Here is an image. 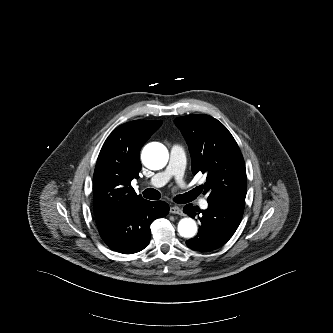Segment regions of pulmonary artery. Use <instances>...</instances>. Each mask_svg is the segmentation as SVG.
Instances as JSON below:
<instances>
[{
  "mask_svg": "<svg viewBox=\"0 0 333 333\" xmlns=\"http://www.w3.org/2000/svg\"><path fill=\"white\" fill-rule=\"evenodd\" d=\"M185 166V153L179 146H174L168 166L162 172L157 173L148 182V185L161 187L164 186L173 176L181 177ZM202 207L207 208L208 203L202 202Z\"/></svg>",
  "mask_w": 333,
  "mask_h": 333,
  "instance_id": "pulmonary-artery-1",
  "label": "pulmonary artery"
}]
</instances>
